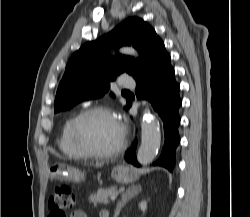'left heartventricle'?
<instances>
[{
  "mask_svg": "<svg viewBox=\"0 0 250 217\" xmlns=\"http://www.w3.org/2000/svg\"><path fill=\"white\" fill-rule=\"evenodd\" d=\"M121 126L114 117L96 113L83 119L80 137L84 144L96 151H109L121 140Z\"/></svg>",
  "mask_w": 250,
  "mask_h": 217,
  "instance_id": "obj_1",
  "label": "left heart ventricle"
}]
</instances>
